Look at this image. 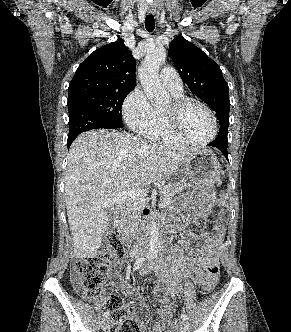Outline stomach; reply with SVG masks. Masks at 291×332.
I'll list each match as a JSON object with an SVG mask.
<instances>
[{
  "instance_id": "obj_1",
  "label": "stomach",
  "mask_w": 291,
  "mask_h": 332,
  "mask_svg": "<svg viewBox=\"0 0 291 332\" xmlns=\"http://www.w3.org/2000/svg\"><path fill=\"white\" fill-rule=\"evenodd\" d=\"M183 173L197 186L182 199L188 203L194 213L205 211L214 197V184L220 178L221 167L208 148L191 152L181 163Z\"/></svg>"
}]
</instances>
